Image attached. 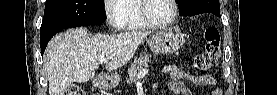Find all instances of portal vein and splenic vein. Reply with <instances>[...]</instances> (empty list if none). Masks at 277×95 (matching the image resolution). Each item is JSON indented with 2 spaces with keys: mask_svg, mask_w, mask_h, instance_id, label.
<instances>
[{
  "mask_svg": "<svg viewBox=\"0 0 277 95\" xmlns=\"http://www.w3.org/2000/svg\"><path fill=\"white\" fill-rule=\"evenodd\" d=\"M109 60V58H104V59H101L99 63H107ZM148 73V70L147 69H144L142 70L138 75H137V79H140L142 78L143 76H145L146 74Z\"/></svg>",
  "mask_w": 277,
  "mask_h": 95,
  "instance_id": "portal-vein-and-splenic-vein-1",
  "label": "portal vein and splenic vein"
}]
</instances>
